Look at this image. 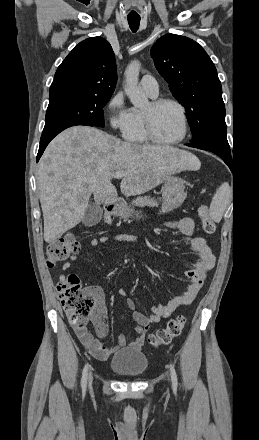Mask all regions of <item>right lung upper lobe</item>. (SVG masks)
Here are the masks:
<instances>
[{
  "instance_id": "right-lung-upper-lobe-1",
  "label": "right lung upper lobe",
  "mask_w": 259,
  "mask_h": 440,
  "mask_svg": "<svg viewBox=\"0 0 259 440\" xmlns=\"http://www.w3.org/2000/svg\"><path fill=\"white\" fill-rule=\"evenodd\" d=\"M117 81L115 55L101 37L80 42L58 67L49 95L82 91L113 94Z\"/></svg>"
}]
</instances>
